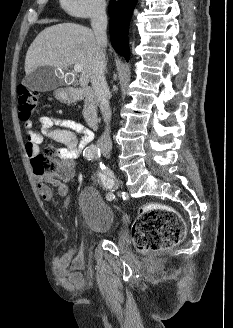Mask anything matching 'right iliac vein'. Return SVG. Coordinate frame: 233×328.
I'll use <instances>...</instances> for the list:
<instances>
[{"instance_id":"1","label":"right iliac vein","mask_w":233,"mask_h":328,"mask_svg":"<svg viewBox=\"0 0 233 328\" xmlns=\"http://www.w3.org/2000/svg\"><path fill=\"white\" fill-rule=\"evenodd\" d=\"M102 150V153L105 155V156H110L111 154V149L109 147H102L101 148ZM118 182L115 184V187H118Z\"/></svg>"}]
</instances>
